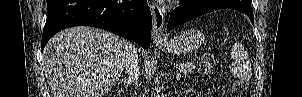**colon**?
Wrapping results in <instances>:
<instances>
[{"instance_id":"obj_1","label":"colon","mask_w":302,"mask_h":97,"mask_svg":"<svg viewBox=\"0 0 302 97\" xmlns=\"http://www.w3.org/2000/svg\"><path fill=\"white\" fill-rule=\"evenodd\" d=\"M214 58L212 55H205L199 65L200 72L203 74L210 73L214 68ZM246 88V83L242 80L233 81V89L236 92H243Z\"/></svg>"}]
</instances>
